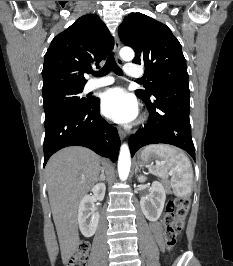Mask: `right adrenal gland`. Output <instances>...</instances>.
<instances>
[{"label":"right adrenal gland","instance_id":"1","mask_svg":"<svg viewBox=\"0 0 233 266\" xmlns=\"http://www.w3.org/2000/svg\"><path fill=\"white\" fill-rule=\"evenodd\" d=\"M97 181H102V182L105 181V175H104V172L103 171H102V173H101V175H100V177L98 178Z\"/></svg>","mask_w":233,"mask_h":266}]
</instances>
